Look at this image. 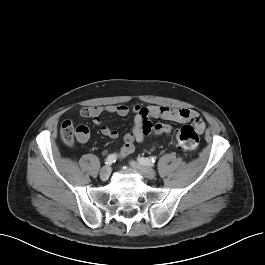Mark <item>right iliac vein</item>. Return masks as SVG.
Wrapping results in <instances>:
<instances>
[{
    "label": "right iliac vein",
    "instance_id": "63e3f726",
    "mask_svg": "<svg viewBox=\"0 0 265 265\" xmlns=\"http://www.w3.org/2000/svg\"><path fill=\"white\" fill-rule=\"evenodd\" d=\"M111 173V167L110 166H104L101 170H100V178L103 181H106Z\"/></svg>",
    "mask_w": 265,
    "mask_h": 265
}]
</instances>
